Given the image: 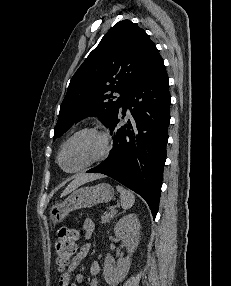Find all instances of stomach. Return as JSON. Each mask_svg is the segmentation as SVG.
Returning <instances> with one entry per match:
<instances>
[{"label":"stomach","mask_w":231,"mask_h":286,"mask_svg":"<svg viewBox=\"0 0 231 286\" xmlns=\"http://www.w3.org/2000/svg\"><path fill=\"white\" fill-rule=\"evenodd\" d=\"M113 196L114 189L107 183L81 187L73 191L63 202L51 207L49 211L50 221L56 225L62 222L70 212L81 208H90L99 203H107Z\"/></svg>","instance_id":"stomach-1"}]
</instances>
